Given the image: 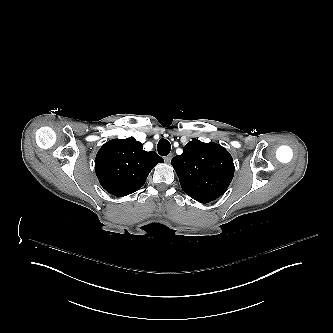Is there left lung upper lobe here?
Masks as SVG:
<instances>
[{"label":"left lung upper lobe","mask_w":333,"mask_h":333,"mask_svg":"<svg viewBox=\"0 0 333 333\" xmlns=\"http://www.w3.org/2000/svg\"><path fill=\"white\" fill-rule=\"evenodd\" d=\"M183 191L200 203H208L225 193L234 176L230 153L216 143L189 141L172 161Z\"/></svg>","instance_id":"1"}]
</instances>
